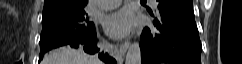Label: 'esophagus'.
<instances>
[{
	"label": "esophagus",
	"instance_id": "obj_1",
	"mask_svg": "<svg viewBox=\"0 0 242 64\" xmlns=\"http://www.w3.org/2000/svg\"><path fill=\"white\" fill-rule=\"evenodd\" d=\"M129 45H130L129 41H126V42L122 43V44L119 46L120 53H121V54H125L126 51H127V49L129 48Z\"/></svg>",
	"mask_w": 242,
	"mask_h": 64
}]
</instances>
